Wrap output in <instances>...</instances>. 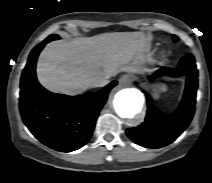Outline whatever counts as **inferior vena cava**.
I'll list each match as a JSON object with an SVG mask.
<instances>
[{"mask_svg":"<svg viewBox=\"0 0 212 183\" xmlns=\"http://www.w3.org/2000/svg\"><path fill=\"white\" fill-rule=\"evenodd\" d=\"M112 75H99L96 76L93 80L92 86L94 87H104L109 83V79Z\"/></svg>","mask_w":212,"mask_h":183,"instance_id":"602c4592","label":"inferior vena cava"}]
</instances>
